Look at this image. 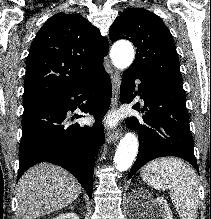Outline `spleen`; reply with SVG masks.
<instances>
[{"label": "spleen", "instance_id": "1", "mask_svg": "<svg viewBox=\"0 0 211 219\" xmlns=\"http://www.w3.org/2000/svg\"><path fill=\"white\" fill-rule=\"evenodd\" d=\"M140 176L157 190H169L181 219H196L199 205L198 180L194 170L177 158H160L145 165Z\"/></svg>", "mask_w": 211, "mask_h": 219}]
</instances>
